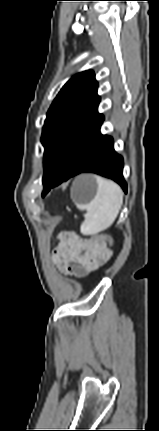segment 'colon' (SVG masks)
Here are the masks:
<instances>
[{
    "label": "colon",
    "mask_w": 159,
    "mask_h": 431,
    "mask_svg": "<svg viewBox=\"0 0 159 431\" xmlns=\"http://www.w3.org/2000/svg\"><path fill=\"white\" fill-rule=\"evenodd\" d=\"M98 236H101L104 240H107L108 246L112 245V238L109 235L101 234V235L94 236L93 239H96Z\"/></svg>",
    "instance_id": "1"
}]
</instances>
